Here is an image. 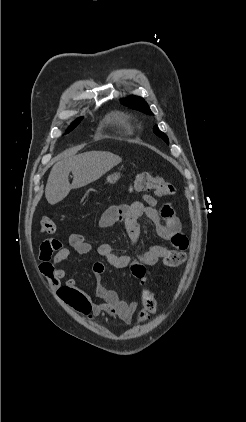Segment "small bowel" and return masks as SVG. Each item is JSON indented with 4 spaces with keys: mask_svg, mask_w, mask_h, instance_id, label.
Listing matches in <instances>:
<instances>
[{
    "mask_svg": "<svg viewBox=\"0 0 246 422\" xmlns=\"http://www.w3.org/2000/svg\"><path fill=\"white\" fill-rule=\"evenodd\" d=\"M146 204L135 202L133 204H121L110 206L101 216L99 225L107 228L117 223H123L125 232L131 242L136 244L140 237V220L147 218L155 225L159 238L169 241L172 250L185 251L188 247V239L183 234L181 224L170 204L163 205L156 209L157 201L154 197L146 195ZM70 247L79 255H84L92 250L84 235L72 234L69 238ZM171 249L162 245H150L136 257L129 255H117L111 245L103 243L97 248L98 254L115 268L129 267L132 274L140 278L141 270L145 265H154L162 261ZM70 249L64 247L57 239H47L40 246L39 270L54 288L59 299L73 307L78 312L88 316L107 314L124 322H129L136 310L137 304L127 301L112 289L101 283V275L104 271V264L96 262L93 272L97 279L95 295L102 300L96 303L83 292L73 278H68L64 283L62 280L67 277V270L60 267V263L68 259Z\"/></svg>",
    "mask_w": 246,
    "mask_h": 422,
    "instance_id": "obj_1",
    "label": "small bowel"
}]
</instances>
